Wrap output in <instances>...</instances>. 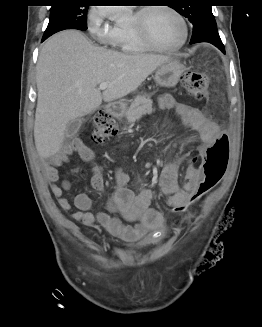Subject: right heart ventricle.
Returning a JSON list of instances; mask_svg holds the SVG:
<instances>
[{"label": "right heart ventricle", "mask_w": 262, "mask_h": 327, "mask_svg": "<svg viewBox=\"0 0 262 327\" xmlns=\"http://www.w3.org/2000/svg\"><path fill=\"white\" fill-rule=\"evenodd\" d=\"M116 46L129 53H144L150 50L133 32L130 26L117 25Z\"/></svg>", "instance_id": "1"}]
</instances>
